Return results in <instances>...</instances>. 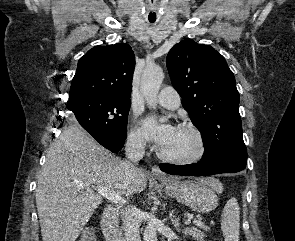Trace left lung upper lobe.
Instances as JSON below:
<instances>
[{
	"instance_id": "obj_1",
	"label": "left lung upper lobe",
	"mask_w": 295,
	"mask_h": 241,
	"mask_svg": "<svg viewBox=\"0 0 295 241\" xmlns=\"http://www.w3.org/2000/svg\"><path fill=\"white\" fill-rule=\"evenodd\" d=\"M166 64L184 109L202 134V160L224 158L246 163L239 93L224 57L209 45L185 39L172 47Z\"/></svg>"
}]
</instances>
